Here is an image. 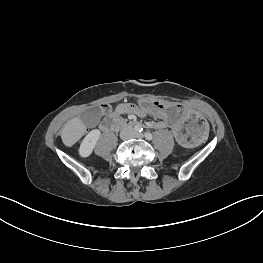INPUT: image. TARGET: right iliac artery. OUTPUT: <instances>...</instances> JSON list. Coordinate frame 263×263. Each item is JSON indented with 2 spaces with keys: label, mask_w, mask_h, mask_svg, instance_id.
Here are the masks:
<instances>
[{
  "label": "right iliac artery",
  "mask_w": 263,
  "mask_h": 263,
  "mask_svg": "<svg viewBox=\"0 0 263 263\" xmlns=\"http://www.w3.org/2000/svg\"><path fill=\"white\" fill-rule=\"evenodd\" d=\"M135 130L137 132H142L143 131V128L141 126H136Z\"/></svg>",
  "instance_id": "1"
}]
</instances>
